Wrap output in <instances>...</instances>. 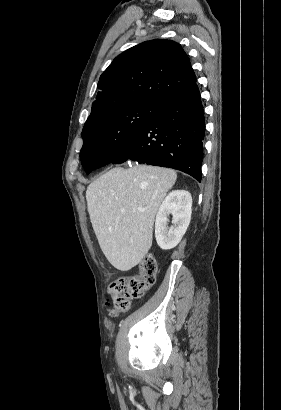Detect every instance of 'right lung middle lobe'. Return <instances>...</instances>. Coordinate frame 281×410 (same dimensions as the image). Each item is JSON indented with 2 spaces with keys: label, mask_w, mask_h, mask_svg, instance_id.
<instances>
[{
  "label": "right lung middle lobe",
  "mask_w": 281,
  "mask_h": 410,
  "mask_svg": "<svg viewBox=\"0 0 281 410\" xmlns=\"http://www.w3.org/2000/svg\"><path fill=\"white\" fill-rule=\"evenodd\" d=\"M157 107L134 104L101 110L87 119L80 158L86 173L112 163L138 137Z\"/></svg>",
  "instance_id": "dd1d6c3e"
}]
</instances>
